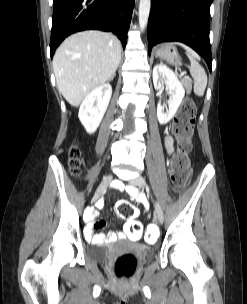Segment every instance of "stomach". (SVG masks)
Here are the masks:
<instances>
[{"label": "stomach", "mask_w": 247, "mask_h": 304, "mask_svg": "<svg viewBox=\"0 0 247 304\" xmlns=\"http://www.w3.org/2000/svg\"><path fill=\"white\" fill-rule=\"evenodd\" d=\"M156 56L171 65H180L181 58L173 44H165L156 50Z\"/></svg>", "instance_id": "obj_1"}]
</instances>
